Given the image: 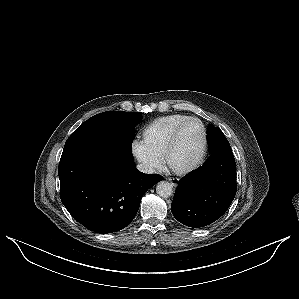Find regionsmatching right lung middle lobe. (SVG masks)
Here are the masks:
<instances>
[{
  "label": "right lung middle lobe",
  "instance_id": "obj_1",
  "mask_svg": "<svg viewBox=\"0 0 299 299\" xmlns=\"http://www.w3.org/2000/svg\"><path fill=\"white\" fill-rule=\"evenodd\" d=\"M141 112H104L80 125L70 139H95L116 143L131 150L134 127L140 122Z\"/></svg>",
  "mask_w": 299,
  "mask_h": 299
}]
</instances>
